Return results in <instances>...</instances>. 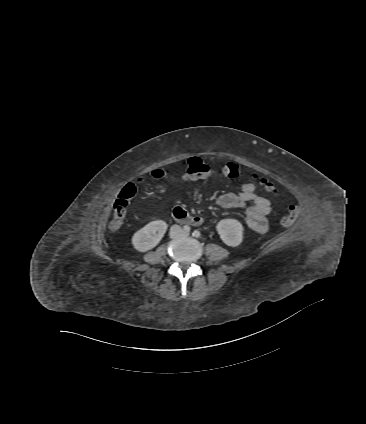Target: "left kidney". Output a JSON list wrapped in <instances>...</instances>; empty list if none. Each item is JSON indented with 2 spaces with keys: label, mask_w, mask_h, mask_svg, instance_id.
Returning a JSON list of instances; mask_svg holds the SVG:
<instances>
[{
  "label": "left kidney",
  "mask_w": 366,
  "mask_h": 424,
  "mask_svg": "<svg viewBox=\"0 0 366 424\" xmlns=\"http://www.w3.org/2000/svg\"><path fill=\"white\" fill-rule=\"evenodd\" d=\"M221 240L228 246H239L243 241V226L235 219H223L216 226Z\"/></svg>",
  "instance_id": "obj_1"
}]
</instances>
